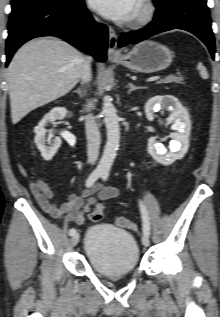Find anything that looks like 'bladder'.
<instances>
[{"label": "bladder", "instance_id": "bladder-1", "mask_svg": "<svg viewBox=\"0 0 220 317\" xmlns=\"http://www.w3.org/2000/svg\"><path fill=\"white\" fill-rule=\"evenodd\" d=\"M83 250L90 267L106 276L131 274L140 261L134 236L127 230L110 225L90 227Z\"/></svg>", "mask_w": 220, "mask_h": 317}]
</instances>
